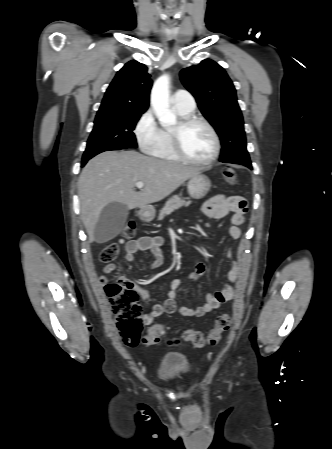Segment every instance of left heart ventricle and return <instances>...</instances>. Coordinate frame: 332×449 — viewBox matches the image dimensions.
Instances as JSON below:
<instances>
[{
    "label": "left heart ventricle",
    "mask_w": 332,
    "mask_h": 449,
    "mask_svg": "<svg viewBox=\"0 0 332 449\" xmlns=\"http://www.w3.org/2000/svg\"><path fill=\"white\" fill-rule=\"evenodd\" d=\"M178 127V123L173 129ZM184 151L192 158L205 160L214 150L213 138L209 130L201 124H193L185 128L181 133Z\"/></svg>",
    "instance_id": "left-heart-ventricle-1"
}]
</instances>
